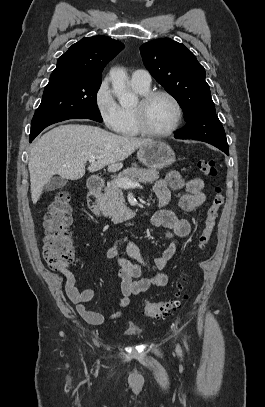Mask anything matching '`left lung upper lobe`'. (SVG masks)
Instances as JSON below:
<instances>
[{"mask_svg": "<svg viewBox=\"0 0 265 407\" xmlns=\"http://www.w3.org/2000/svg\"><path fill=\"white\" fill-rule=\"evenodd\" d=\"M151 75L177 100L184 112L185 127L175 138L195 139L228 150L224 128L215 113L205 69L194 54L169 38L140 47Z\"/></svg>", "mask_w": 265, "mask_h": 407, "instance_id": "1", "label": "left lung upper lobe"}]
</instances>
